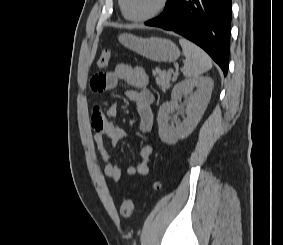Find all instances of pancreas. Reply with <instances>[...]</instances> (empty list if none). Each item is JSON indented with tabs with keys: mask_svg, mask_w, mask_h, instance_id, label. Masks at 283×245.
I'll use <instances>...</instances> for the list:
<instances>
[{
	"mask_svg": "<svg viewBox=\"0 0 283 245\" xmlns=\"http://www.w3.org/2000/svg\"><path fill=\"white\" fill-rule=\"evenodd\" d=\"M153 75L156 76V83L159 85L162 91H166L170 87L172 73L156 69L153 71Z\"/></svg>",
	"mask_w": 283,
	"mask_h": 245,
	"instance_id": "pancreas-1",
	"label": "pancreas"
}]
</instances>
